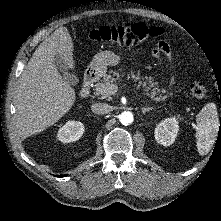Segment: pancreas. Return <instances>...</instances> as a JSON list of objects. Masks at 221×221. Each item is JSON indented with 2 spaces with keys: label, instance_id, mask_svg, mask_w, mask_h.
I'll return each mask as SVG.
<instances>
[{
  "label": "pancreas",
  "instance_id": "1",
  "mask_svg": "<svg viewBox=\"0 0 221 221\" xmlns=\"http://www.w3.org/2000/svg\"><path fill=\"white\" fill-rule=\"evenodd\" d=\"M117 76L116 78L112 77ZM119 73L114 71L110 72L108 75H104L102 82L97 83L95 85L94 94L97 96H101L102 98H110L112 93L110 92V87L113 84V82H116L119 79ZM132 78L134 81H139L137 87L138 88H145L146 94L150 96L155 101H165L168 96L162 94L166 93V90L163 88L157 87V83L153 82L152 77H144L140 76L139 72L132 71L130 75L127 76V78ZM147 80V81H145Z\"/></svg>",
  "mask_w": 221,
  "mask_h": 221
}]
</instances>
